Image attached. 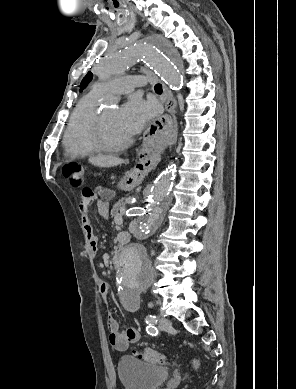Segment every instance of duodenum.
I'll list each match as a JSON object with an SVG mask.
<instances>
[{
	"label": "duodenum",
	"mask_w": 296,
	"mask_h": 389,
	"mask_svg": "<svg viewBox=\"0 0 296 389\" xmlns=\"http://www.w3.org/2000/svg\"><path fill=\"white\" fill-rule=\"evenodd\" d=\"M127 241V238L126 237H121V243L124 244L126 243ZM120 257H121V249H117L113 255H112V258H111V261L113 264H116L118 263V261L120 260Z\"/></svg>",
	"instance_id": "1"
}]
</instances>
